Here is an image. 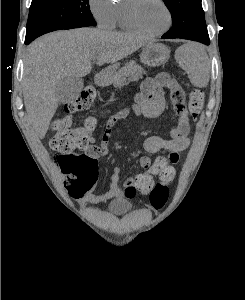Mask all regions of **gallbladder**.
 Masks as SVG:
<instances>
[{"label": "gallbladder", "instance_id": "obj_1", "mask_svg": "<svg viewBox=\"0 0 245 300\" xmlns=\"http://www.w3.org/2000/svg\"><path fill=\"white\" fill-rule=\"evenodd\" d=\"M84 86V81L81 77L70 76L62 78L58 81L55 94L61 104L68 103L76 99Z\"/></svg>", "mask_w": 245, "mask_h": 300}]
</instances>
